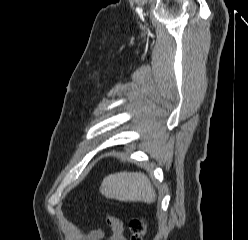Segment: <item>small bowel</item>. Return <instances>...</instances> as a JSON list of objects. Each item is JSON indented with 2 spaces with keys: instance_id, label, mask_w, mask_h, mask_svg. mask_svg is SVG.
I'll list each match as a JSON object with an SVG mask.
<instances>
[{
  "instance_id": "small-bowel-1",
  "label": "small bowel",
  "mask_w": 248,
  "mask_h": 240,
  "mask_svg": "<svg viewBox=\"0 0 248 240\" xmlns=\"http://www.w3.org/2000/svg\"><path fill=\"white\" fill-rule=\"evenodd\" d=\"M106 220L112 229L110 240H126L123 223L118 218L111 215H108ZM103 237L104 232L98 228L92 230L84 240H100L103 239Z\"/></svg>"
}]
</instances>
